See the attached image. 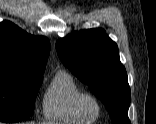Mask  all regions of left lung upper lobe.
Instances as JSON below:
<instances>
[{
	"label": "left lung upper lobe",
	"instance_id": "1",
	"mask_svg": "<svg viewBox=\"0 0 156 124\" xmlns=\"http://www.w3.org/2000/svg\"><path fill=\"white\" fill-rule=\"evenodd\" d=\"M62 63L105 104L113 124H131L130 87L118 47L103 29L81 30L56 42Z\"/></svg>",
	"mask_w": 156,
	"mask_h": 124
}]
</instances>
